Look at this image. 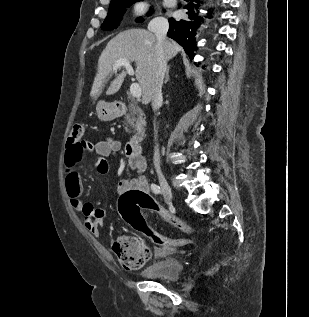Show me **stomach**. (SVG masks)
<instances>
[{"mask_svg":"<svg viewBox=\"0 0 309 317\" xmlns=\"http://www.w3.org/2000/svg\"><path fill=\"white\" fill-rule=\"evenodd\" d=\"M96 112L102 121H111L118 116L114 103H108L103 100L97 103Z\"/></svg>","mask_w":309,"mask_h":317,"instance_id":"stomach-1","label":"stomach"}]
</instances>
